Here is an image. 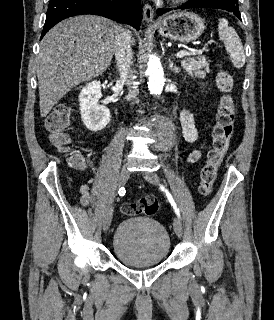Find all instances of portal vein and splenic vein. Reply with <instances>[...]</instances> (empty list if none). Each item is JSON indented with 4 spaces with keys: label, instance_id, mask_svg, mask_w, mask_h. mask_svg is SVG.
<instances>
[{
    "label": "portal vein and splenic vein",
    "instance_id": "portal-vein-and-splenic-vein-1",
    "mask_svg": "<svg viewBox=\"0 0 274 320\" xmlns=\"http://www.w3.org/2000/svg\"><path fill=\"white\" fill-rule=\"evenodd\" d=\"M184 56H190V52H177L176 58H184Z\"/></svg>",
    "mask_w": 274,
    "mask_h": 320
}]
</instances>
